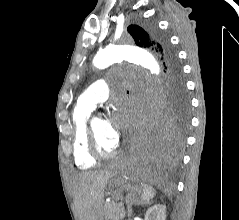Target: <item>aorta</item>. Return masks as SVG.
Returning <instances> with one entry per match:
<instances>
[{
    "instance_id": "aorta-1",
    "label": "aorta",
    "mask_w": 239,
    "mask_h": 220,
    "mask_svg": "<svg viewBox=\"0 0 239 220\" xmlns=\"http://www.w3.org/2000/svg\"><path fill=\"white\" fill-rule=\"evenodd\" d=\"M126 45H110L99 51L93 59V64L104 69L113 63L121 61H133L134 65H143L144 71H150V78H154L161 85V70L157 61L152 56L149 48H125Z\"/></svg>"
}]
</instances>
